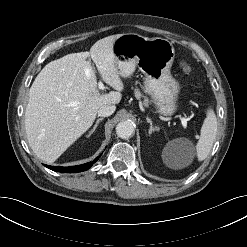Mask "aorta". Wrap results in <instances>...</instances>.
<instances>
[{
  "label": "aorta",
  "mask_w": 247,
  "mask_h": 247,
  "mask_svg": "<svg viewBox=\"0 0 247 247\" xmlns=\"http://www.w3.org/2000/svg\"><path fill=\"white\" fill-rule=\"evenodd\" d=\"M116 134L122 139H128L134 134V125L129 121H121L116 126Z\"/></svg>",
  "instance_id": "obj_1"
}]
</instances>
